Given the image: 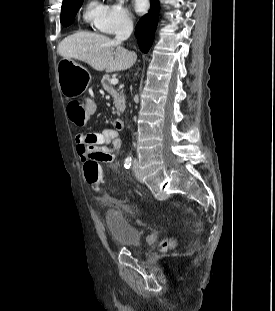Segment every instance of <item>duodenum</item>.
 Segmentation results:
<instances>
[{
  "label": "duodenum",
  "mask_w": 275,
  "mask_h": 311,
  "mask_svg": "<svg viewBox=\"0 0 275 311\" xmlns=\"http://www.w3.org/2000/svg\"><path fill=\"white\" fill-rule=\"evenodd\" d=\"M114 126L116 129L122 130L124 128V123L122 120L116 119V120H114Z\"/></svg>",
  "instance_id": "duodenum-1"
}]
</instances>
